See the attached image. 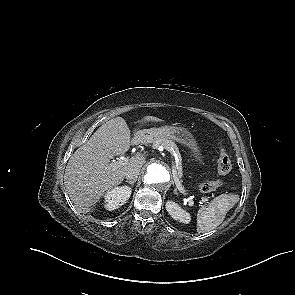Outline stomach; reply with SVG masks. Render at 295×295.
Instances as JSON below:
<instances>
[{
  "mask_svg": "<svg viewBox=\"0 0 295 295\" xmlns=\"http://www.w3.org/2000/svg\"><path fill=\"white\" fill-rule=\"evenodd\" d=\"M141 142L152 143L161 140H174L187 146L192 156L198 163H202V156L191 132L182 126H164L159 128L144 129L140 133Z\"/></svg>",
  "mask_w": 295,
  "mask_h": 295,
  "instance_id": "1",
  "label": "stomach"
}]
</instances>
